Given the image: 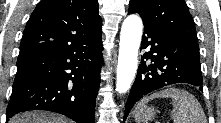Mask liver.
<instances>
[{"instance_id": "6515ba94", "label": "liver", "mask_w": 221, "mask_h": 123, "mask_svg": "<svg viewBox=\"0 0 221 123\" xmlns=\"http://www.w3.org/2000/svg\"><path fill=\"white\" fill-rule=\"evenodd\" d=\"M9 123H68V120L49 112L31 111L15 115Z\"/></svg>"}]
</instances>
